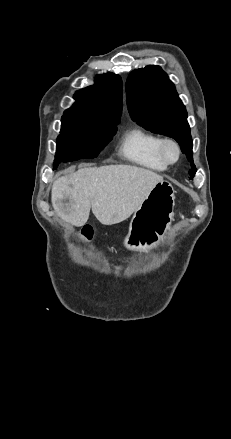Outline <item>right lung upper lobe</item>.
Listing matches in <instances>:
<instances>
[{
  "label": "right lung upper lobe",
  "instance_id": "cb5924a9",
  "mask_svg": "<svg viewBox=\"0 0 231 439\" xmlns=\"http://www.w3.org/2000/svg\"><path fill=\"white\" fill-rule=\"evenodd\" d=\"M76 103L62 118H85L107 125H117L122 113V80L107 73L96 77L95 84L74 94Z\"/></svg>",
  "mask_w": 231,
  "mask_h": 439
}]
</instances>
